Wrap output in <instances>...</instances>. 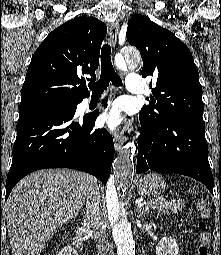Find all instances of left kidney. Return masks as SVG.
I'll return each mask as SVG.
<instances>
[{
    "instance_id": "left-kidney-1",
    "label": "left kidney",
    "mask_w": 221,
    "mask_h": 255,
    "mask_svg": "<svg viewBox=\"0 0 221 255\" xmlns=\"http://www.w3.org/2000/svg\"><path fill=\"white\" fill-rule=\"evenodd\" d=\"M156 255H179V247L175 239L164 237L156 245Z\"/></svg>"
}]
</instances>
